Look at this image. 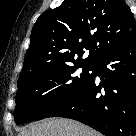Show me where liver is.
Wrapping results in <instances>:
<instances>
[{
  "instance_id": "6515ba94",
  "label": "liver",
  "mask_w": 136,
  "mask_h": 136,
  "mask_svg": "<svg viewBox=\"0 0 136 136\" xmlns=\"http://www.w3.org/2000/svg\"><path fill=\"white\" fill-rule=\"evenodd\" d=\"M19 136H100L77 121L56 118L28 125Z\"/></svg>"
}]
</instances>
